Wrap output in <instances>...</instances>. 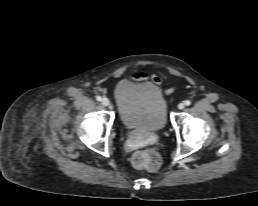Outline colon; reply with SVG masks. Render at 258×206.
Wrapping results in <instances>:
<instances>
[{"instance_id":"1","label":"colon","mask_w":258,"mask_h":206,"mask_svg":"<svg viewBox=\"0 0 258 206\" xmlns=\"http://www.w3.org/2000/svg\"><path fill=\"white\" fill-rule=\"evenodd\" d=\"M132 162L141 169H156L160 164V157L154 149H142L134 153Z\"/></svg>"}]
</instances>
